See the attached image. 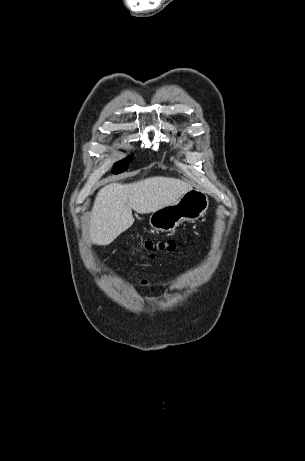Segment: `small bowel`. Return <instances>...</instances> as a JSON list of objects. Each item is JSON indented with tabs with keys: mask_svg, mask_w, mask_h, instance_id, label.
<instances>
[{
	"mask_svg": "<svg viewBox=\"0 0 305 461\" xmlns=\"http://www.w3.org/2000/svg\"><path fill=\"white\" fill-rule=\"evenodd\" d=\"M140 286H141L142 288H147V287L149 286L148 280L145 279V278H141V279H140Z\"/></svg>",
	"mask_w": 305,
	"mask_h": 461,
	"instance_id": "1",
	"label": "small bowel"
}]
</instances>
